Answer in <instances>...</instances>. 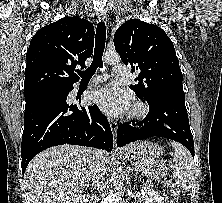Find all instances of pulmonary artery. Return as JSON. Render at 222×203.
I'll return each mask as SVG.
<instances>
[{"label":"pulmonary artery","mask_w":222,"mask_h":203,"mask_svg":"<svg viewBox=\"0 0 222 203\" xmlns=\"http://www.w3.org/2000/svg\"><path fill=\"white\" fill-rule=\"evenodd\" d=\"M128 73V69L126 67V65L124 64H116L113 67V74L117 77H123L126 76ZM104 79V77H97L93 82L98 83L100 81H102Z\"/></svg>","instance_id":"1"}]
</instances>
